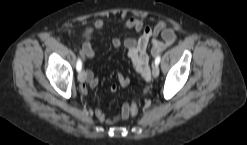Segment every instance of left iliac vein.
<instances>
[{"mask_svg":"<svg viewBox=\"0 0 247 145\" xmlns=\"http://www.w3.org/2000/svg\"><path fill=\"white\" fill-rule=\"evenodd\" d=\"M152 75L154 78H157L159 75V67L156 64L153 65V67H152Z\"/></svg>","mask_w":247,"mask_h":145,"instance_id":"4c4485c4","label":"left iliac vein"}]
</instances>
